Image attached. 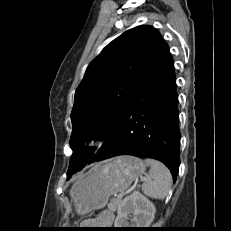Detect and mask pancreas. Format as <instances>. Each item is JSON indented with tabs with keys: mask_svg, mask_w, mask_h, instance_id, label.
I'll return each instance as SVG.
<instances>
[{
	"mask_svg": "<svg viewBox=\"0 0 231 231\" xmlns=\"http://www.w3.org/2000/svg\"><path fill=\"white\" fill-rule=\"evenodd\" d=\"M121 201H122L121 197H116V198L111 199L110 203L108 204V208L111 211H115L121 204Z\"/></svg>",
	"mask_w": 231,
	"mask_h": 231,
	"instance_id": "cf45deb5",
	"label": "pancreas"
}]
</instances>
